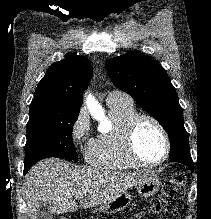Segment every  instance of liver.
I'll return each instance as SVG.
<instances>
[{
	"instance_id": "6515ba94",
	"label": "liver",
	"mask_w": 211,
	"mask_h": 219,
	"mask_svg": "<svg viewBox=\"0 0 211 219\" xmlns=\"http://www.w3.org/2000/svg\"><path fill=\"white\" fill-rule=\"evenodd\" d=\"M151 172L134 173L107 171L83 167H69L56 158L42 160L26 175V200L31 219H37V211L43 202L51 204L53 214L75 212L76 194H83L80 208L103 205L129 188L141 183Z\"/></svg>"
}]
</instances>
